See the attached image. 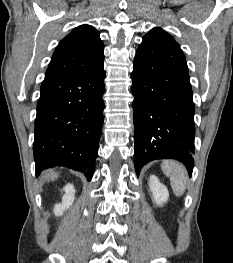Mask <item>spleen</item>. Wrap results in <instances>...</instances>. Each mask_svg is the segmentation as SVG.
Wrapping results in <instances>:
<instances>
[{
    "instance_id": "obj_1",
    "label": "spleen",
    "mask_w": 233,
    "mask_h": 263,
    "mask_svg": "<svg viewBox=\"0 0 233 263\" xmlns=\"http://www.w3.org/2000/svg\"><path fill=\"white\" fill-rule=\"evenodd\" d=\"M162 171L170 177V183L176 196H181L187 184V173L185 168L175 161H164L161 164Z\"/></svg>"
}]
</instances>
